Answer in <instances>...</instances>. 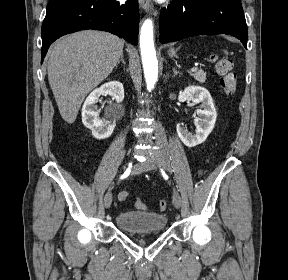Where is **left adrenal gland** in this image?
I'll use <instances>...</instances> for the list:
<instances>
[{"mask_svg":"<svg viewBox=\"0 0 288 280\" xmlns=\"http://www.w3.org/2000/svg\"><path fill=\"white\" fill-rule=\"evenodd\" d=\"M173 72H174L173 77H175L176 75L180 74L175 68H173Z\"/></svg>","mask_w":288,"mask_h":280,"instance_id":"obj_1","label":"left adrenal gland"}]
</instances>
